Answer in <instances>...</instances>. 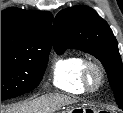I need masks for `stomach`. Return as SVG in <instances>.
I'll return each instance as SVG.
<instances>
[{
	"label": "stomach",
	"mask_w": 123,
	"mask_h": 113,
	"mask_svg": "<svg viewBox=\"0 0 123 113\" xmlns=\"http://www.w3.org/2000/svg\"><path fill=\"white\" fill-rule=\"evenodd\" d=\"M87 109H90V108H87L83 105H76V106H71L62 112L63 113H86ZM90 110H93V109H90Z\"/></svg>",
	"instance_id": "0dacf381"
}]
</instances>
